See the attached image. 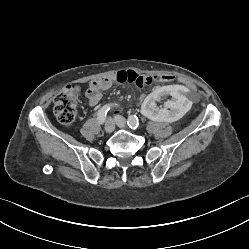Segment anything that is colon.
<instances>
[{"instance_id": "obj_1", "label": "colon", "mask_w": 249, "mask_h": 249, "mask_svg": "<svg viewBox=\"0 0 249 249\" xmlns=\"http://www.w3.org/2000/svg\"><path fill=\"white\" fill-rule=\"evenodd\" d=\"M162 83H177L178 77L171 75L153 74L150 77L139 76L138 79L132 80L138 88H145L153 81H160ZM80 95V87L76 84H70L54 97L53 111L58 121L64 125H71L74 123L77 116V103Z\"/></svg>"}]
</instances>
